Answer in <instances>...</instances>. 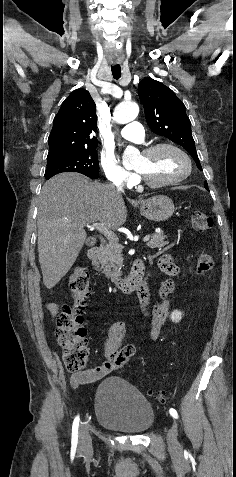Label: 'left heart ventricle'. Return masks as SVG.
Segmentation results:
<instances>
[{"instance_id":"1","label":"left heart ventricle","mask_w":236,"mask_h":477,"mask_svg":"<svg viewBox=\"0 0 236 477\" xmlns=\"http://www.w3.org/2000/svg\"><path fill=\"white\" fill-rule=\"evenodd\" d=\"M135 169L154 182L174 179L187 169L185 159L172 149H161L145 156L141 154L135 163Z\"/></svg>"}]
</instances>
